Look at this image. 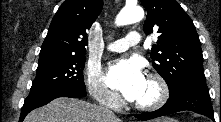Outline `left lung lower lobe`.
<instances>
[{
	"instance_id": "left-lung-lower-lobe-1",
	"label": "left lung lower lobe",
	"mask_w": 221,
	"mask_h": 122,
	"mask_svg": "<svg viewBox=\"0 0 221 122\" xmlns=\"http://www.w3.org/2000/svg\"><path fill=\"white\" fill-rule=\"evenodd\" d=\"M193 111L214 120V112L206 83H187L170 93L167 103L160 109L135 115L140 120H149L179 111Z\"/></svg>"
}]
</instances>
